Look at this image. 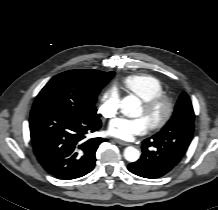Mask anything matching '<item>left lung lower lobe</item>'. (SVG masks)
Wrapping results in <instances>:
<instances>
[{
    "instance_id": "left-lung-lower-lobe-1",
    "label": "left lung lower lobe",
    "mask_w": 218,
    "mask_h": 210,
    "mask_svg": "<svg viewBox=\"0 0 218 210\" xmlns=\"http://www.w3.org/2000/svg\"><path fill=\"white\" fill-rule=\"evenodd\" d=\"M140 159L128 165V170L144 178H159L171 171L184 156L186 149L168 147L165 141L147 138L143 141Z\"/></svg>"
}]
</instances>
